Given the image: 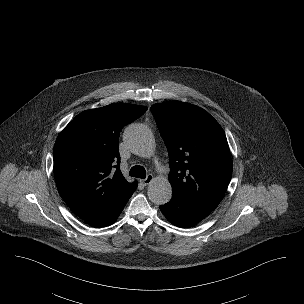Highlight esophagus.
<instances>
[{"mask_svg":"<svg viewBox=\"0 0 304 304\" xmlns=\"http://www.w3.org/2000/svg\"><path fill=\"white\" fill-rule=\"evenodd\" d=\"M154 180V176L152 174H148L145 179L142 180V183L146 186L149 185Z\"/></svg>","mask_w":304,"mask_h":304,"instance_id":"esophagus-1","label":"esophagus"}]
</instances>
